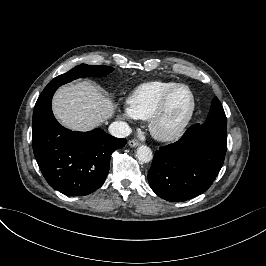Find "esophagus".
I'll list each match as a JSON object with an SVG mask.
<instances>
[{"label":"esophagus","mask_w":266,"mask_h":266,"mask_svg":"<svg viewBox=\"0 0 266 266\" xmlns=\"http://www.w3.org/2000/svg\"><path fill=\"white\" fill-rule=\"evenodd\" d=\"M129 145H130L131 147H137V146L140 145V142L137 141V140H130V141H129Z\"/></svg>","instance_id":"esophagus-1"}]
</instances>
